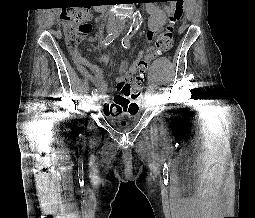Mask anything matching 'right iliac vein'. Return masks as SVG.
<instances>
[{
	"label": "right iliac vein",
	"instance_id": "right-iliac-vein-1",
	"mask_svg": "<svg viewBox=\"0 0 255 218\" xmlns=\"http://www.w3.org/2000/svg\"><path fill=\"white\" fill-rule=\"evenodd\" d=\"M98 98H99V95H98V94H95V95L93 96L94 101H97Z\"/></svg>",
	"mask_w": 255,
	"mask_h": 218
}]
</instances>
